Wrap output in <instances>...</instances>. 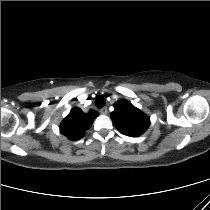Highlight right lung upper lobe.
Segmentation results:
<instances>
[{
  "instance_id": "obj_1",
  "label": "right lung upper lobe",
  "mask_w": 210,
  "mask_h": 210,
  "mask_svg": "<svg viewBox=\"0 0 210 210\" xmlns=\"http://www.w3.org/2000/svg\"><path fill=\"white\" fill-rule=\"evenodd\" d=\"M98 116L95 110L83 113L80 108L74 107L60 125V131L70 140L81 139L89 129L93 120Z\"/></svg>"
}]
</instances>
